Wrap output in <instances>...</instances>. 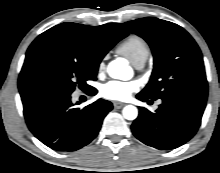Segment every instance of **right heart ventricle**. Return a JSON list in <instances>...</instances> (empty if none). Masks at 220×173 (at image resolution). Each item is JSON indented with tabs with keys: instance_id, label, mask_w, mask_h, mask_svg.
Masks as SVG:
<instances>
[{
	"instance_id": "1",
	"label": "right heart ventricle",
	"mask_w": 220,
	"mask_h": 173,
	"mask_svg": "<svg viewBox=\"0 0 220 173\" xmlns=\"http://www.w3.org/2000/svg\"><path fill=\"white\" fill-rule=\"evenodd\" d=\"M119 51L126 56L132 64L139 59H147L150 48L147 42L140 36L132 35L127 38L120 46Z\"/></svg>"
}]
</instances>
